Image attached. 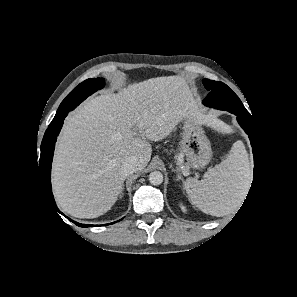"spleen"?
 <instances>
[{
	"label": "spleen",
	"mask_w": 297,
	"mask_h": 297,
	"mask_svg": "<svg viewBox=\"0 0 297 297\" xmlns=\"http://www.w3.org/2000/svg\"><path fill=\"white\" fill-rule=\"evenodd\" d=\"M251 182V168L244 143L236 141L226 159L204 174L203 180L188 178L185 190L204 213L224 216L239 208Z\"/></svg>",
	"instance_id": "1"
}]
</instances>
